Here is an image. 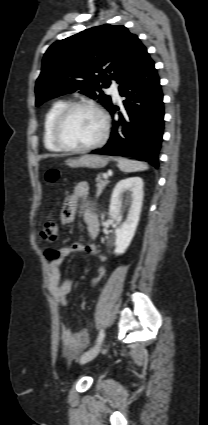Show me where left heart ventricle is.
<instances>
[{
	"instance_id": "left-heart-ventricle-1",
	"label": "left heart ventricle",
	"mask_w": 208,
	"mask_h": 425,
	"mask_svg": "<svg viewBox=\"0 0 208 425\" xmlns=\"http://www.w3.org/2000/svg\"><path fill=\"white\" fill-rule=\"evenodd\" d=\"M102 128L101 118L96 112L79 108L68 116L61 131V138L69 146L84 147L100 137Z\"/></svg>"
}]
</instances>
